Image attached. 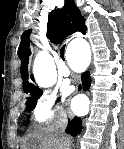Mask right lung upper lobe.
Returning <instances> with one entry per match:
<instances>
[{
	"instance_id": "cb5924a9",
	"label": "right lung upper lobe",
	"mask_w": 124,
	"mask_h": 149,
	"mask_svg": "<svg viewBox=\"0 0 124 149\" xmlns=\"http://www.w3.org/2000/svg\"><path fill=\"white\" fill-rule=\"evenodd\" d=\"M85 20L82 17L79 8L73 0H65L62 9L53 10L48 17L47 36L54 44L61 43L69 35L80 32L86 33ZM30 30H26L21 37V43L18 48V56L21 60V75L23 87H37L28 82V60L31 55L29 35ZM31 79L33 77L31 76Z\"/></svg>"
}]
</instances>
